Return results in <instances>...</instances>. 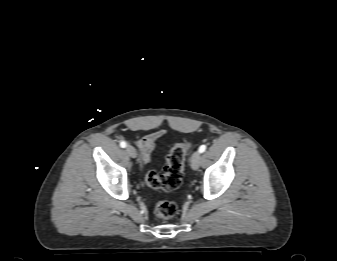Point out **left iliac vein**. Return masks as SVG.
Instances as JSON below:
<instances>
[{"label": "left iliac vein", "instance_id": "4c4485c4", "mask_svg": "<svg viewBox=\"0 0 337 261\" xmlns=\"http://www.w3.org/2000/svg\"><path fill=\"white\" fill-rule=\"evenodd\" d=\"M200 160H201L200 152L199 151L194 152L190 159V165L192 169L197 170L199 168Z\"/></svg>", "mask_w": 337, "mask_h": 261}]
</instances>
